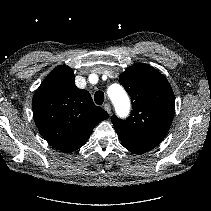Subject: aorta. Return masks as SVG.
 <instances>
[{"label":"aorta","mask_w":211,"mask_h":211,"mask_svg":"<svg viewBox=\"0 0 211 211\" xmlns=\"http://www.w3.org/2000/svg\"><path fill=\"white\" fill-rule=\"evenodd\" d=\"M115 99L116 100H124L126 102V104H128V100L120 86H117V93L115 95Z\"/></svg>","instance_id":"aorta-1"}]
</instances>
